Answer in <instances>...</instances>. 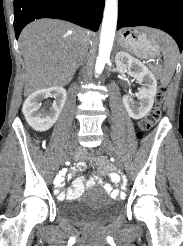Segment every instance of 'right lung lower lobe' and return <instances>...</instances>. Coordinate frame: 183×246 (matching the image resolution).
<instances>
[{
	"label": "right lung lower lobe",
	"mask_w": 183,
	"mask_h": 246,
	"mask_svg": "<svg viewBox=\"0 0 183 246\" xmlns=\"http://www.w3.org/2000/svg\"><path fill=\"white\" fill-rule=\"evenodd\" d=\"M104 5V0H14L16 39L28 23L40 18L62 19L97 31Z\"/></svg>",
	"instance_id": "1"
}]
</instances>
